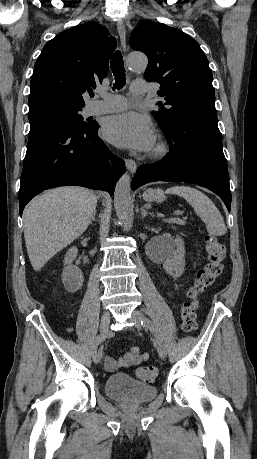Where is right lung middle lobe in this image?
<instances>
[{
    "mask_svg": "<svg viewBox=\"0 0 257 459\" xmlns=\"http://www.w3.org/2000/svg\"><path fill=\"white\" fill-rule=\"evenodd\" d=\"M82 107H53L29 112V120L45 119L59 122L66 126L84 128L93 122L83 121Z\"/></svg>",
    "mask_w": 257,
    "mask_h": 459,
    "instance_id": "obj_1",
    "label": "right lung middle lobe"
}]
</instances>
